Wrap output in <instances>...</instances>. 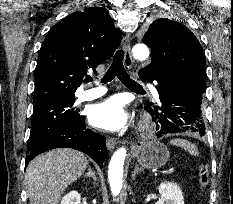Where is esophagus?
Masks as SVG:
<instances>
[{"mask_svg": "<svg viewBox=\"0 0 233 204\" xmlns=\"http://www.w3.org/2000/svg\"><path fill=\"white\" fill-rule=\"evenodd\" d=\"M123 50H124V65L127 68L132 67V56H131V38L129 35L123 37ZM117 145L116 138L108 137L106 140V146L109 150L114 149Z\"/></svg>", "mask_w": 233, "mask_h": 204, "instance_id": "34e87169", "label": "esophagus"}]
</instances>
